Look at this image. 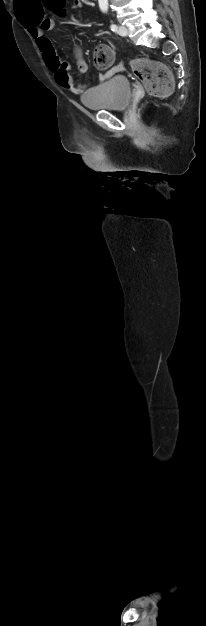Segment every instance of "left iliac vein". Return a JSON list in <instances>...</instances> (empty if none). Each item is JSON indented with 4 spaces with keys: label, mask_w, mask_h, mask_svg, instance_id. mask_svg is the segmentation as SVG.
<instances>
[{
    "label": "left iliac vein",
    "mask_w": 206,
    "mask_h": 626,
    "mask_svg": "<svg viewBox=\"0 0 206 626\" xmlns=\"http://www.w3.org/2000/svg\"><path fill=\"white\" fill-rule=\"evenodd\" d=\"M128 32H129V31H128L127 27H125V26H119V28H118V34H119L120 36H124V37H125V36H127V35H128Z\"/></svg>",
    "instance_id": "1"
}]
</instances>
